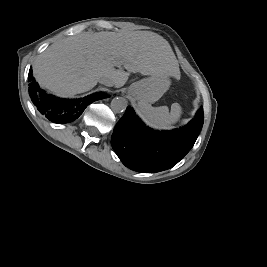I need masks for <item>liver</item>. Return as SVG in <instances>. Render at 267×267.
Masks as SVG:
<instances>
[{"label":"liver","instance_id":"liver-1","mask_svg":"<svg viewBox=\"0 0 267 267\" xmlns=\"http://www.w3.org/2000/svg\"><path fill=\"white\" fill-rule=\"evenodd\" d=\"M130 73L176 78L180 71L168 41L151 31L69 36L51 44L33 65L39 85L61 97L89 91L101 77L114 80L120 88Z\"/></svg>","mask_w":267,"mask_h":267}]
</instances>
